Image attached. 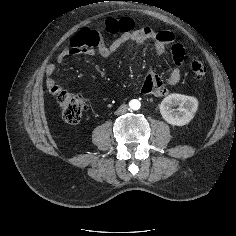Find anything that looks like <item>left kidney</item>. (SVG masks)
I'll use <instances>...</instances> for the list:
<instances>
[{
    "mask_svg": "<svg viewBox=\"0 0 236 236\" xmlns=\"http://www.w3.org/2000/svg\"><path fill=\"white\" fill-rule=\"evenodd\" d=\"M179 106L177 110L172 107ZM198 109V100L192 96L171 94L165 97L160 104V113L163 119L173 126H184L194 117Z\"/></svg>",
    "mask_w": 236,
    "mask_h": 236,
    "instance_id": "left-kidney-1",
    "label": "left kidney"
}]
</instances>
